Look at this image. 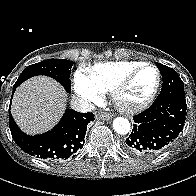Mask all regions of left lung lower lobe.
<instances>
[{"label": "left lung lower lobe", "mask_w": 196, "mask_h": 196, "mask_svg": "<svg viewBox=\"0 0 196 196\" xmlns=\"http://www.w3.org/2000/svg\"><path fill=\"white\" fill-rule=\"evenodd\" d=\"M168 77L172 78L171 74H162L163 81ZM186 110L185 96L157 97L148 109L133 117L126 150L145 157L161 153L183 130Z\"/></svg>", "instance_id": "1"}]
</instances>
